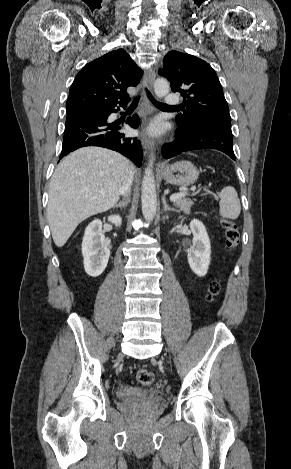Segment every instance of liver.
<instances>
[{"label":"liver","mask_w":291,"mask_h":469,"mask_svg":"<svg viewBox=\"0 0 291 469\" xmlns=\"http://www.w3.org/2000/svg\"><path fill=\"white\" fill-rule=\"evenodd\" d=\"M131 168L135 173L124 156L100 147L81 148L59 163L50 182L47 206L57 247L64 246L82 221L115 206Z\"/></svg>","instance_id":"obj_1"}]
</instances>
